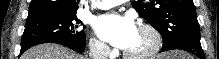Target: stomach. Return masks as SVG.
I'll list each match as a JSON object with an SVG mask.
<instances>
[{"mask_svg":"<svg viewBox=\"0 0 219 59\" xmlns=\"http://www.w3.org/2000/svg\"><path fill=\"white\" fill-rule=\"evenodd\" d=\"M172 56H173L172 54H168V55H167L168 58H169V57H172Z\"/></svg>","mask_w":219,"mask_h":59,"instance_id":"0dacf381","label":"stomach"}]
</instances>
